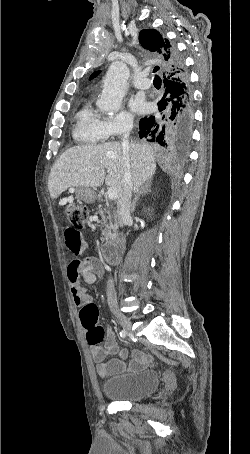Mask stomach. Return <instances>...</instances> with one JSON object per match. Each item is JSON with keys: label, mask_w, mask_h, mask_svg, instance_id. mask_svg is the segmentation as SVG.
Segmentation results:
<instances>
[{"label": "stomach", "mask_w": 250, "mask_h": 454, "mask_svg": "<svg viewBox=\"0 0 250 454\" xmlns=\"http://www.w3.org/2000/svg\"><path fill=\"white\" fill-rule=\"evenodd\" d=\"M77 198L86 203H93L97 198V194L95 190L91 188L79 187L77 190Z\"/></svg>", "instance_id": "0dacf381"}]
</instances>
